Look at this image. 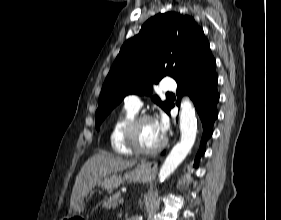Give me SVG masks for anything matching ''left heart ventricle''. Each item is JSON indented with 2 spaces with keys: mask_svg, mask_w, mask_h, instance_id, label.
<instances>
[{
  "mask_svg": "<svg viewBox=\"0 0 281 220\" xmlns=\"http://www.w3.org/2000/svg\"><path fill=\"white\" fill-rule=\"evenodd\" d=\"M138 144L143 148H153L163 140L155 121L147 120L142 122L136 133Z\"/></svg>",
  "mask_w": 281,
  "mask_h": 220,
  "instance_id": "left-heart-ventricle-1",
  "label": "left heart ventricle"
}]
</instances>
